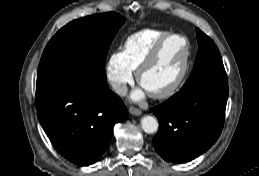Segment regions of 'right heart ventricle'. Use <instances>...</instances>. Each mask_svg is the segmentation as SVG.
<instances>
[{"label": "right heart ventricle", "instance_id": "obj_1", "mask_svg": "<svg viewBox=\"0 0 259 176\" xmlns=\"http://www.w3.org/2000/svg\"><path fill=\"white\" fill-rule=\"evenodd\" d=\"M168 30L146 28L129 35L122 46V55L126 65L133 71H137L140 64L149 54L156 42Z\"/></svg>", "mask_w": 259, "mask_h": 176}]
</instances>
